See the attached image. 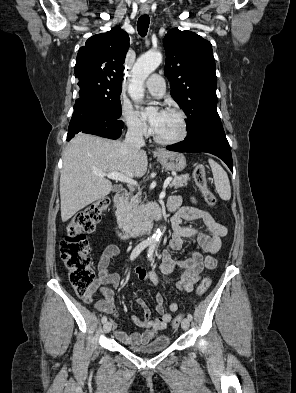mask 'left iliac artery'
I'll list each match as a JSON object with an SVG mask.
<instances>
[{
	"instance_id": "obj_1",
	"label": "left iliac artery",
	"mask_w": 296,
	"mask_h": 393,
	"mask_svg": "<svg viewBox=\"0 0 296 393\" xmlns=\"http://www.w3.org/2000/svg\"><path fill=\"white\" fill-rule=\"evenodd\" d=\"M154 250H155V244H151L148 249V258L150 261L152 260ZM187 318L191 321L193 317L191 314H188Z\"/></svg>"
}]
</instances>
